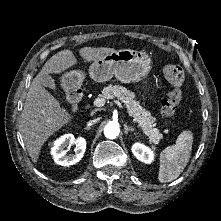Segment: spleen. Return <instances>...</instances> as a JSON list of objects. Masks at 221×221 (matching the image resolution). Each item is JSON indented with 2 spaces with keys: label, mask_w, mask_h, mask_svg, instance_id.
I'll return each instance as SVG.
<instances>
[{
  "label": "spleen",
  "mask_w": 221,
  "mask_h": 221,
  "mask_svg": "<svg viewBox=\"0 0 221 221\" xmlns=\"http://www.w3.org/2000/svg\"><path fill=\"white\" fill-rule=\"evenodd\" d=\"M193 144L191 131L179 134L176 144L166 147L160 154L158 180L171 182L179 177L189 162Z\"/></svg>",
  "instance_id": "3e777b00"
}]
</instances>
